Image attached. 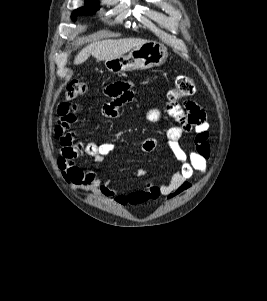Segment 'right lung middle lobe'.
Here are the masks:
<instances>
[{
    "label": "right lung middle lobe",
    "instance_id": "obj_1",
    "mask_svg": "<svg viewBox=\"0 0 267 301\" xmlns=\"http://www.w3.org/2000/svg\"><path fill=\"white\" fill-rule=\"evenodd\" d=\"M99 9L98 0H85V5L81 8H78L72 13V20H76V17L79 15H92Z\"/></svg>",
    "mask_w": 267,
    "mask_h": 301
}]
</instances>
